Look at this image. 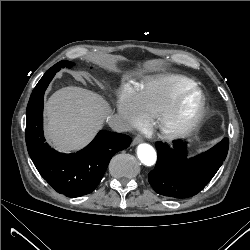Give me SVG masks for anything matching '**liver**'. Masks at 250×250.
<instances>
[{"label":"liver","mask_w":250,"mask_h":250,"mask_svg":"<svg viewBox=\"0 0 250 250\" xmlns=\"http://www.w3.org/2000/svg\"><path fill=\"white\" fill-rule=\"evenodd\" d=\"M110 113L98 94L80 87H64L45 105L46 136L58 150L74 151L89 143Z\"/></svg>","instance_id":"liver-1"}]
</instances>
